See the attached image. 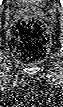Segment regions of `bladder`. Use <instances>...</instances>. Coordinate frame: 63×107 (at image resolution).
I'll return each instance as SVG.
<instances>
[{
	"label": "bladder",
	"instance_id": "1",
	"mask_svg": "<svg viewBox=\"0 0 63 107\" xmlns=\"http://www.w3.org/2000/svg\"><path fill=\"white\" fill-rule=\"evenodd\" d=\"M14 2H16L17 4H40L43 1L42 0H15Z\"/></svg>",
	"mask_w": 63,
	"mask_h": 107
}]
</instances>
